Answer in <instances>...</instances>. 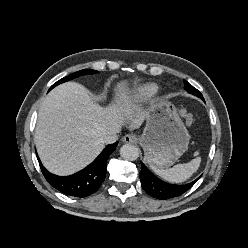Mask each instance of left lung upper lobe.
<instances>
[{
	"label": "left lung upper lobe",
	"mask_w": 248,
	"mask_h": 248,
	"mask_svg": "<svg viewBox=\"0 0 248 248\" xmlns=\"http://www.w3.org/2000/svg\"><path fill=\"white\" fill-rule=\"evenodd\" d=\"M184 88L189 93L196 95L199 98H201L202 100H204L202 94L196 88H194L190 83H188L186 80H184Z\"/></svg>",
	"instance_id": "1"
}]
</instances>
